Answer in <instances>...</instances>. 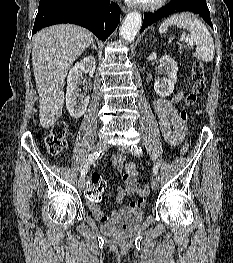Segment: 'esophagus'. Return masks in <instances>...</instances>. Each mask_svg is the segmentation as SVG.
Listing matches in <instances>:
<instances>
[{
    "label": "esophagus",
    "mask_w": 233,
    "mask_h": 263,
    "mask_svg": "<svg viewBox=\"0 0 233 263\" xmlns=\"http://www.w3.org/2000/svg\"><path fill=\"white\" fill-rule=\"evenodd\" d=\"M121 9H122L123 13H128L129 12V9L127 7L123 6Z\"/></svg>",
    "instance_id": "esophagus-1"
}]
</instances>
